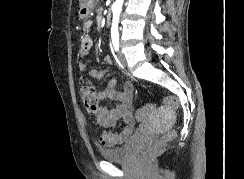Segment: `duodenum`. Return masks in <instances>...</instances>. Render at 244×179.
Here are the masks:
<instances>
[{
    "instance_id": "duodenum-1",
    "label": "duodenum",
    "mask_w": 244,
    "mask_h": 179,
    "mask_svg": "<svg viewBox=\"0 0 244 179\" xmlns=\"http://www.w3.org/2000/svg\"><path fill=\"white\" fill-rule=\"evenodd\" d=\"M110 17H111V10L108 11V15L106 16V19H105L106 23L109 22Z\"/></svg>"
}]
</instances>
